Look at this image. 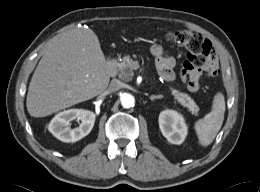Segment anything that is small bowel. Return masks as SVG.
Returning <instances> with one entry per match:
<instances>
[{"mask_svg": "<svg viewBox=\"0 0 260 192\" xmlns=\"http://www.w3.org/2000/svg\"><path fill=\"white\" fill-rule=\"evenodd\" d=\"M150 53L155 59V64L159 75L165 82H171L175 78V73L173 68L175 66V59L171 56H165L163 53V48L159 44H153L150 47ZM217 62V59H216ZM218 73V63L215 67L206 66L200 73L198 78L197 88L195 90L190 91H197L199 89V80L203 75L214 76Z\"/></svg>", "mask_w": 260, "mask_h": 192, "instance_id": "small-bowel-1", "label": "small bowel"}]
</instances>
